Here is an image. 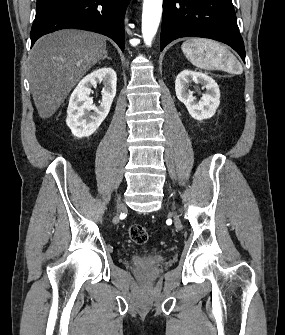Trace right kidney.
I'll return each mask as SVG.
<instances>
[{
	"label": "right kidney",
	"mask_w": 285,
	"mask_h": 335,
	"mask_svg": "<svg viewBox=\"0 0 285 335\" xmlns=\"http://www.w3.org/2000/svg\"><path fill=\"white\" fill-rule=\"evenodd\" d=\"M103 82L102 102L98 108L93 104L91 86ZM117 76L112 68H100L85 76L72 92L67 108L66 124L76 138H88L96 132L116 96ZM93 110V112H92Z\"/></svg>",
	"instance_id": "1"
}]
</instances>
